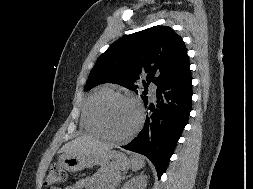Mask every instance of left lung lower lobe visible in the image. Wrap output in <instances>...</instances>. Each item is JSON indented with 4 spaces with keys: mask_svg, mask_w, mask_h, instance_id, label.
I'll list each match as a JSON object with an SVG mask.
<instances>
[{
    "mask_svg": "<svg viewBox=\"0 0 253 189\" xmlns=\"http://www.w3.org/2000/svg\"><path fill=\"white\" fill-rule=\"evenodd\" d=\"M188 57L178 71L156 90L157 105L148 107L144 128L129 144L123 146L148 157L158 177L165 172L191 111L192 77ZM145 103V105H147Z\"/></svg>",
    "mask_w": 253,
    "mask_h": 189,
    "instance_id": "left-lung-lower-lobe-1",
    "label": "left lung lower lobe"
}]
</instances>
